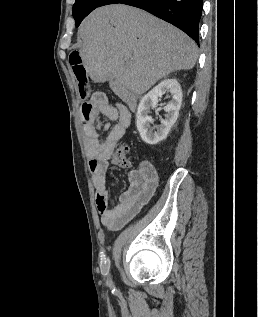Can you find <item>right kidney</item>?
<instances>
[{"mask_svg": "<svg viewBox=\"0 0 258 317\" xmlns=\"http://www.w3.org/2000/svg\"><path fill=\"white\" fill-rule=\"evenodd\" d=\"M165 92H170L168 94L170 100L166 106H163L164 110H166L165 118H161V124L157 126V130H152L150 122H153L154 118L149 116V108L151 106L156 108L159 96L165 94ZM181 104L182 88L177 78H164L152 90L144 94L139 102L136 114V126L142 140L148 142V144H157V142L166 138L172 124L178 118ZM156 110H161V106L156 108Z\"/></svg>", "mask_w": 258, "mask_h": 317, "instance_id": "obj_1", "label": "right kidney"}]
</instances>
